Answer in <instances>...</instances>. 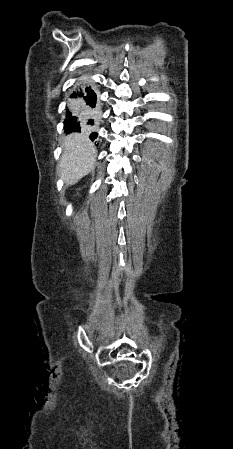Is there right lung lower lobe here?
<instances>
[{"mask_svg": "<svg viewBox=\"0 0 233 449\" xmlns=\"http://www.w3.org/2000/svg\"><path fill=\"white\" fill-rule=\"evenodd\" d=\"M70 104L66 110L65 130L79 131L81 126L94 125L98 117L99 108L97 96L89 86H79L70 96ZM96 132L90 134L94 140Z\"/></svg>", "mask_w": 233, "mask_h": 449, "instance_id": "right-lung-lower-lobe-1", "label": "right lung lower lobe"}]
</instances>
